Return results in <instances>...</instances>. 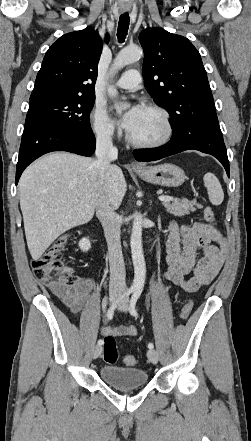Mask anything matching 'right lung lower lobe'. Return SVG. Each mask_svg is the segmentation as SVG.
<instances>
[{"mask_svg": "<svg viewBox=\"0 0 251 441\" xmlns=\"http://www.w3.org/2000/svg\"><path fill=\"white\" fill-rule=\"evenodd\" d=\"M95 148L96 140L92 131L76 133L41 118L26 117L16 167V185L24 169L46 153L68 151L91 156Z\"/></svg>", "mask_w": 251, "mask_h": 441, "instance_id": "98d812e1", "label": "right lung lower lobe"}]
</instances>
